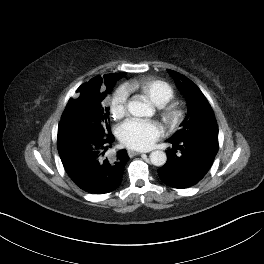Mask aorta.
Returning <instances> with one entry per match:
<instances>
[{
  "instance_id": "aorta-1",
  "label": "aorta",
  "mask_w": 264,
  "mask_h": 264,
  "mask_svg": "<svg viewBox=\"0 0 264 264\" xmlns=\"http://www.w3.org/2000/svg\"><path fill=\"white\" fill-rule=\"evenodd\" d=\"M127 107L130 114L136 117L151 116L153 114V109L145 102L139 100L130 101ZM166 160V153L161 150L153 151L150 154V161L155 166H163Z\"/></svg>"
}]
</instances>
